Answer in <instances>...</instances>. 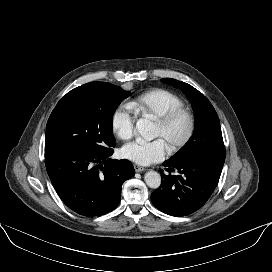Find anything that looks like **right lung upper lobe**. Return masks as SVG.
<instances>
[{"instance_id":"right-lung-upper-lobe-1","label":"right lung upper lobe","mask_w":272,"mask_h":272,"mask_svg":"<svg viewBox=\"0 0 272 272\" xmlns=\"http://www.w3.org/2000/svg\"><path fill=\"white\" fill-rule=\"evenodd\" d=\"M88 94V85L84 84L68 92L57 104V106L68 104L72 101L85 98Z\"/></svg>"}]
</instances>
